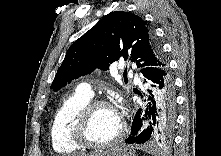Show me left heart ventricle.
Segmentation results:
<instances>
[{"mask_svg": "<svg viewBox=\"0 0 221 156\" xmlns=\"http://www.w3.org/2000/svg\"><path fill=\"white\" fill-rule=\"evenodd\" d=\"M120 120L116 117L114 110L103 107L96 110L87 126V137L95 143L109 141L117 133Z\"/></svg>", "mask_w": 221, "mask_h": 156, "instance_id": "obj_1", "label": "left heart ventricle"}]
</instances>
